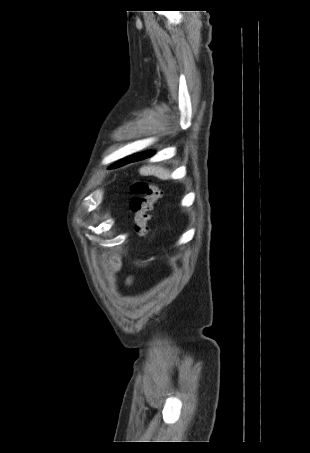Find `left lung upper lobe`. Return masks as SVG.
<instances>
[{
    "label": "left lung upper lobe",
    "mask_w": 310,
    "mask_h": 453,
    "mask_svg": "<svg viewBox=\"0 0 310 453\" xmlns=\"http://www.w3.org/2000/svg\"><path fill=\"white\" fill-rule=\"evenodd\" d=\"M132 157H133V156H131V157H129V158H126V159H124V160H122V161L116 163V164L113 165L111 168H116V167H120V166H123V165H125V164H128V163L130 162V160H131Z\"/></svg>",
    "instance_id": "5c2ea615"
}]
</instances>
